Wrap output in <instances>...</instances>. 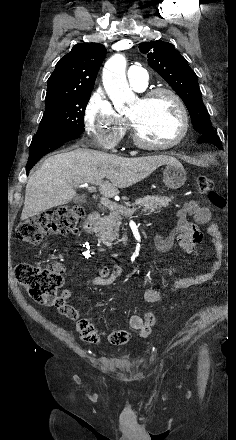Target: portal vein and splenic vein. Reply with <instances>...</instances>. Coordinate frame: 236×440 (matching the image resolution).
<instances>
[{"label":"portal vein and splenic vein","instance_id":"obj_1","mask_svg":"<svg viewBox=\"0 0 236 440\" xmlns=\"http://www.w3.org/2000/svg\"><path fill=\"white\" fill-rule=\"evenodd\" d=\"M77 185L80 186V187H88L87 183L77 184ZM88 189H89L90 192L95 191V187H89ZM100 202H101V204L103 206L109 208L110 210H117V209H119L120 212L129 214V215H132L136 211V208L123 210L122 208H120V206L117 203L111 201L110 199H108V197H105V196L101 197Z\"/></svg>","mask_w":236,"mask_h":440}]
</instances>
